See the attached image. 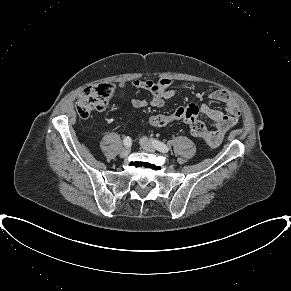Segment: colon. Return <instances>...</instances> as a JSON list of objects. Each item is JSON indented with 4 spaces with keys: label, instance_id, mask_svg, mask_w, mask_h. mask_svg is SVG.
I'll list each match as a JSON object with an SVG mask.
<instances>
[{
    "label": "colon",
    "instance_id": "1",
    "mask_svg": "<svg viewBox=\"0 0 291 291\" xmlns=\"http://www.w3.org/2000/svg\"><path fill=\"white\" fill-rule=\"evenodd\" d=\"M120 86L112 83H102L85 88L76 101V112L79 117L87 118L94 111L103 110L118 94ZM198 107L195 105L180 106L169 114H155L149 118V123L155 127H163L173 122H186L193 135L202 138L209 147H214L216 141L204 122L198 118Z\"/></svg>",
    "mask_w": 291,
    "mask_h": 291
}]
</instances>
